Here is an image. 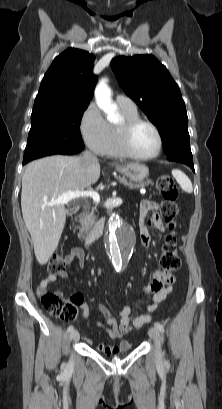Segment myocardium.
<instances>
[{"instance_id": "obj_1", "label": "myocardium", "mask_w": 222, "mask_h": 409, "mask_svg": "<svg viewBox=\"0 0 222 409\" xmlns=\"http://www.w3.org/2000/svg\"><path fill=\"white\" fill-rule=\"evenodd\" d=\"M141 124L150 126L157 135V139H158L157 148L152 154H149V155L136 154L132 150L131 145H130V136H131L132 131L138 125H141ZM117 134H118L119 147L122 153L129 158H132L135 160H141V161L151 160V159L156 158L162 151V147H163L162 133L160 129L158 128V126L148 119H144L140 117L132 118V119H124L122 124L118 126Z\"/></svg>"}]
</instances>
